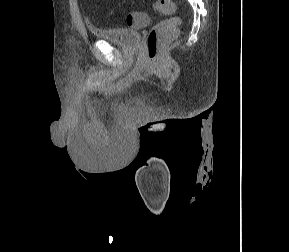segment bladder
I'll return each mask as SVG.
<instances>
[{"label": "bladder", "mask_w": 289, "mask_h": 252, "mask_svg": "<svg viewBox=\"0 0 289 252\" xmlns=\"http://www.w3.org/2000/svg\"><path fill=\"white\" fill-rule=\"evenodd\" d=\"M92 34L100 39L122 47H133L140 41V33L136 30L112 27L91 28Z\"/></svg>", "instance_id": "obj_1"}]
</instances>
